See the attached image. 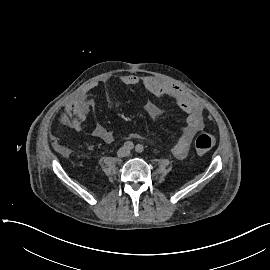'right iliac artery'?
<instances>
[{
	"label": "right iliac artery",
	"instance_id": "1",
	"mask_svg": "<svg viewBox=\"0 0 270 270\" xmlns=\"http://www.w3.org/2000/svg\"><path fill=\"white\" fill-rule=\"evenodd\" d=\"M124 147L130 150L134 148V144L131 141H127L124 143Z\"/></svg>",
	"mask_w": 270,
	"mask_h": 270
}]
</instances>
